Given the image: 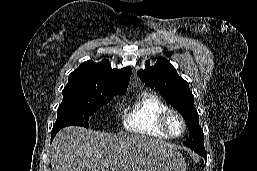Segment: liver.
<instances>
[{
    "label": "liver",
    "mask_w": 257,
    "mask_h": 171,
    "mask_svg": "<svg viewBox=\"0 0 257 171\" xmlns=\"http://www.w3.org/2000/svg\"><path fill=\"white\" fill-rule=\"evenodd\" d=\"M155 150H172L160 140L66 127L52 143V171H140Z\"/></svg>",
    "instance_id": "obj_1"
}]
</instances>
